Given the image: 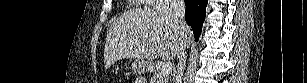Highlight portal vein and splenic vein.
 Segmentation results:
<instances>
[{"label": "portal vein and splenic vein", "instance_id": "1", "mask_svg": "<svg viewBox=\"0 0 307 83\" xmlns=\"http://www.w3.org/2000/svg\"><path fill=\"white\" fill-rule=\"evenodd\" d=\"M172 71V64L170 62H165L160 67V72L163 75H167Z\"/></svg>", "mask_w": 307, "mask_h": 83}]
</instances>
